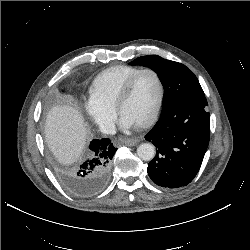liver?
<instances>
[{"mask_svg":"<svg viewBox=\"0 0 250 250\" xmlns=\"http://www.w3.org/2000/svg\"><path fill=\"white\" fill-rule=\"evenodd\" d=\"M46 142L62 164L75 162L86 141V128L80 112L71 106H54L45 123Z\"/></svg>","mask_w":250,"mask_h":250,"instance_id":"1","label":"liver"}]
</instances>
